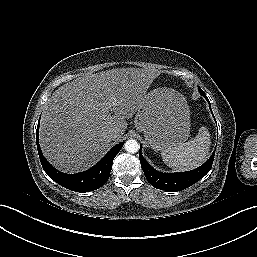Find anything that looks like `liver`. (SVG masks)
I'll return each instance as SVG.
<instances>
[{"instance_id": "obj_1", "label": "liver", "mask_w": 257, "mask_h": 257, "mask_svg": "<svg viewBox=\"0 0 257 257\" xmlns=\"http://www.w3.org/2000/svg\"><path fill=\"white\" fill-rule=\"evenodd\" d=\"M155 69L121 68L86 74L60 86L47 101L39 131L44 156L58 170L91 167L120 140L158 76ZM111 113H114L111 115ZM114 130L116 137L105 134Z\"/></svg>"}]
</instances>
